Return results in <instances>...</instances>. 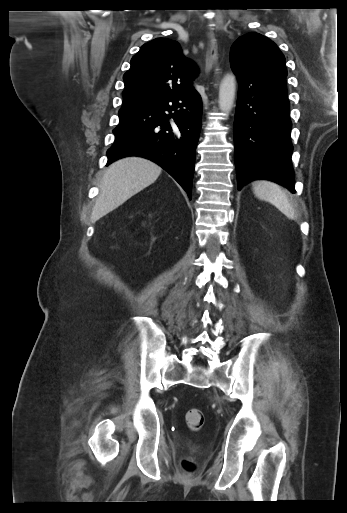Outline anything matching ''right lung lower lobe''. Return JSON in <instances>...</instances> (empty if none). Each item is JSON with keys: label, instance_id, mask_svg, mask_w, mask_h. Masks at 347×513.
Listing matches in <instances>:
<instances>
[{"label": "right lung lower lobe", "instance_id": "1", "mask_svg": "<svg viewBox=\"0 0 347 513\" xmlns=\"http://www.w3.org/2000/svg\"><path fill=\"white\" fill-rule=\"evenodd\" d=\"M202 101L196 90L148 105L119 111L108 164L141 156L164 168L191 199L195 150L201 129Z\"/></svg>", "mask_w": 347, "mask_h": 513}]
</instances>
